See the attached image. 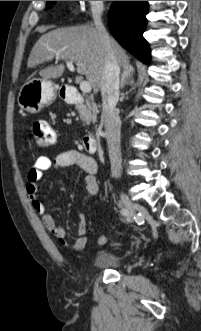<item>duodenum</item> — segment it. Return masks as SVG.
I'll return each mask as SVG.
<instances>
[{
  "mask_svg": "<svg viewBox=\"0 0 201 331\" xmlns=\"http://www.w3.org/2000/svg\"><path fill=\"white\" fill-rule=\"evenodd\" d=\"M59 95L70 104H78L81 102L77 89L71 85L61 87L59 90ZM81 143L87 152L95 153L97 151V140L93 134L89 133L84 135Z\"/></svg>",
  "mask_w": 201,
  "mask_h": 331,
  "instance_id": "duodenum-1",
  "label": "duodenum"
}]
</instances>
